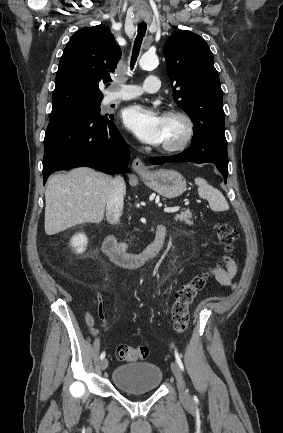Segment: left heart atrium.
<instances>
[{
  "mask_svg": "<svg viewBox=\"0 0 283 433\" xmlns=\"http://www.w3.org/2000/svg\"><path fill=\"white\" fill-rule=\"evenodd\" d=\"M122 120L143 144L160 148L164 143L163 116L157 114L155 108L144 104L132 105L124 110Z\"/></svg>",
  "mask_w": 283,
  "mask_h": 433,
  "instance_id": "left-heart-atrium-1",
  "label": "left heart atrium"
}]
</instances>
